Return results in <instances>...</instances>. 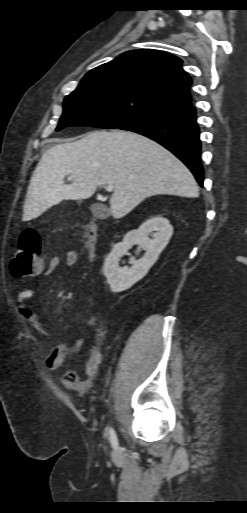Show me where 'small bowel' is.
Masks as SVG:
<instances>
[{"label": "small bowel", "instance_id": "1", "mask_svg": "<svg viewBox=\"0 0 247 513\" xmlns=\"http://www.w3.org/2000/svg\"><path fill=\"white\" fill-rule=\"evenodd\" d=\"M59 264V256H52L47 266H41L40 273L44 272L48 276L56 271ZM64 264L67 267L76 266L78 264V253L74 250H67L64 254ZM32 295L33 288L30 286L20 291L17 301L18 311L37 333L45 339H50L52 336L50 327L31 309L30 300ZM87 321L89 322L90 319ZM86 343L87 339L81 338L71 343L60 342L54 344L49 354L45 357V366L51 371L59 370L64 365L67 357L76 353ZM101 357V348L98 345H91L81 368L84 376H81L80 372L76 369L68 370L61 377L63 385L68 389L87 387L99 369Z\"/></svg>", "mask_w": 247, "mask_h": 513}]
</instances>
